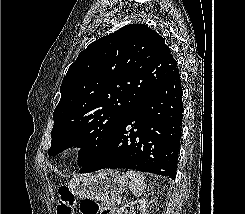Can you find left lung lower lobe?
I'll use <instances>...</instances> for the list:
<instances>
[{
  "mask_svg": "<svg viewBox=\"0 0 245 214\" xmlns=\"http://www.w3.org/2000/svg\"><path fill=\"white\" fill-rule=\"evenodd\" d=\"M180 82L176 67L111 140L86 160L79 173L126 168L175 179L184 112Z\"/></svg>",
  "mask_w": 245,
  "mask_h": 214,
  "instance_id": "1",
  "label": "left lung lower lobe"
}]
</instances>
